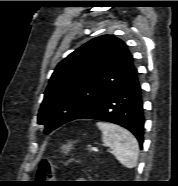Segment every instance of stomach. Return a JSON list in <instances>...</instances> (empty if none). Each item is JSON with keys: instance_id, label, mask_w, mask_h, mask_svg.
Masks as SVG:
<instances>
[{"instance_id": "1", "label": "stomach", "mask_w": 178, "mask_h": 186, "mask_svg": "<svg viewBox=\"0 0 178 186\" xmlns=\"http://www.w3.org/2000/svg\"><path fill=\"white\" fill-rule=\"evenodd\" d=\"M73 145L71 144V143H68V144H66V145H63L62 146V152L63 153H65V154H67L73 147H72Z\"/></svg>"}]
</instances>
